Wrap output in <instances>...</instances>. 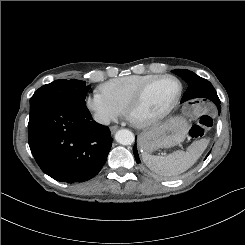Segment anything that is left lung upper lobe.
<instances>
[{"label":"left lung upper lobe","instance_id":"1","mask_svg":"<svg viewBox=\"0 0 245 245\" xmlns=\"http://www.w3.org/2000/svg\"><path fill=\"white\" fill-rule=\"evenodd\" d=\"M172 72L181 76L189 85L181 99V102H185L193 98L211 99V97L217 96V93L211 83L206 79L199 77L192 71L176 69Z\"/></svg>","mask_w":245,"mask_h":245}]
</instances>
